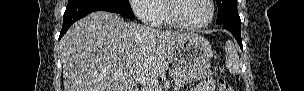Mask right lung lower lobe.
<instances>
[{
    "mask_svg": "<svg viewBox=\"0 0 304 91\" xmlns=\"http://www.w3.org/2000/svg\"><path fill=\"white\" fill-rule=\"evenodd\" d=\"M94 11H108L121 15L111 0H69L63 16V27L59 39L74 22Z\"/></svg>",
    "mask_w": 304,
    "mask_h": 91,
    "instance_id": "98d812e1",
    "label": "right lung lower lobe"
}]
</instances>
